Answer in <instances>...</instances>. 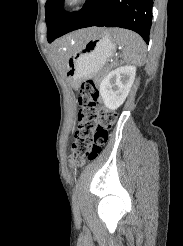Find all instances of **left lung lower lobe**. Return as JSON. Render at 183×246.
Masks as SVG:
<instances>
[{"label":"left lung lower lobe","mask_w":183,"mask_h":246,"mask_svg":"<svg viewBox=\"0 0 183 246\" xmlns=\"http://www.w3.org/2000/svg\"><path fill=\"white\" fill-rule=\"evenodd\" d=\"M152 7L153 0H87L56 38L86 27H120L137 32L148 44Z\"/></svg>","instance_id":"obj_1"}]
</instances>
